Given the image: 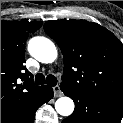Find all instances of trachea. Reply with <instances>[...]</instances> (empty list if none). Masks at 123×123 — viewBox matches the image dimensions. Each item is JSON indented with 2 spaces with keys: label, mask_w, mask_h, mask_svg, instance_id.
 <instances>
[{
  "label": "trachea",
  "mask_w": 123,
  "mask_h": 123,
  "mask_svg": "<svg viewBox=\"0 0 123 123\" xmlns=\"http://www.w3.org/2000/svg\"><path fill=\"white\" fill-rule=\"evenodd\" d=\"M36 85L48 84L50 86H55L57 84V78L54 75H48L45 77L43 74L39 73L35 77Z\"/></svg>",
  "instance_id": "1"
}]
</instances>
